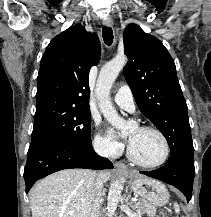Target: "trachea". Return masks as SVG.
<instances>
[{
    "mask_svg": "<svg viewBox=\"0 0 211 217\" xmlns=\"http://www.w3.org/2000/svg\"><path fill=\"white\" fill-rule=\"evenodd\" d=\"M102 36L106 45L110 46L113 43V31L111 27H103Z\"/></svg>",
    "mask_w": 211,
    "mask_h": 217,
    "instance_id": "trachea-1",
    "label": "trachea"
}]
</instances>
